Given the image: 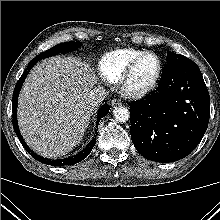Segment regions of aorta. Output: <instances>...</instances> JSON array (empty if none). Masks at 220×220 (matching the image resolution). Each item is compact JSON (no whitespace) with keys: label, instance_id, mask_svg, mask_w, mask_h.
Returning a JSON list of instances; mask_svg holds the SVG:
<instances>
[{"label":"aorta","instance_id":"obj_1","mask_svg":"<svg viewBox=\"0 0 220 220\" xmlns=\"http://www.w3.org/2000/svg\"><path fill=\"white\" fill-rule=\"evenodd\" d=\"M113 115L117 122L124 123L129 120L130 113L129 110L124 106H118L113 110Z\"/></svg>","mask_w":220,"mask_h":220}]
</instances>
